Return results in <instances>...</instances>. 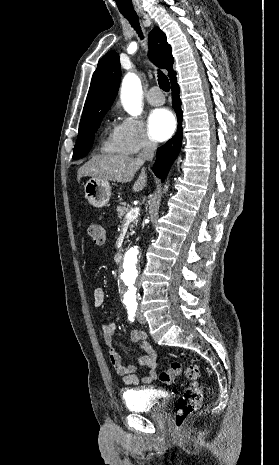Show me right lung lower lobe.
Here are the masks:
<instances>
[{
	"mask_svg": "<svg viewBox=\"0 0 279 465\" xmlns=\"http://www.w3.org/2000/svg\"><path fill=\"white\" fill-rule=\"evenodd\" d=\"M172 104L177 114L178 127L176 135L166 142L163 146L157 149L156 161L153 166V171L157 177L163 182L169 172L171 165L178 156L182 144V120L183 113L181 110V100L179 97V85L177 81L171 83Z\"/></svg>",
	"mask_w": 279,
	"mask_h": 465,
	"instance_id": "1",
	"label": "right lung lower lobe"
}]
</instances>
